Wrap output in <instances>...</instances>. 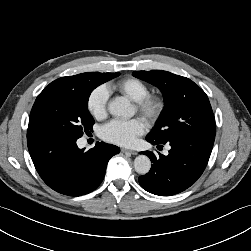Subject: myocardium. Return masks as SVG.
<instances>
[{
    "mask_svg": "<svg viewBox=\"0 0 251 251\" xmlns=\"http://www.w3.org/2000/svg\"><path fill=\"white\" fill-rule=\"evenodd\" d=\"M136 108L148 122L154 123L161 118L165 110V101L159 95L148 94L136 102Z\"/></svg>",
    "mask_w": 251,
    "mask_h": 251,
    "instance_id": "obj_1",
    "label": "myocardium"
}]
</instances>
